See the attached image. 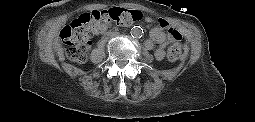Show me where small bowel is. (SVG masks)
Wrapping results in <instances>:
<instances>
[{
  "label": "small bowel",
  "mask_w": 255,
  "mask_h": 122,
  "mask_svg": "<svg viewBox=\"0 0 255 122\" xmlns=\"http://www.w3.org/2000/svg\"><path fill=\"white\" fill-rule=\"evenodd\" d=\"M146 21L148 23H152L153 18L148 17ZM160 22H165L167 24V22L164 19H159L158 21L159 25L150 30L148 39L146 40V43H145V48L147 50H151L153 49L155 44H159V47L154 52V55L156 59L158 60H161L164 58L165 47L168 43L172 41V38L170 37V35L164 32L165 28L160 25Z\"/></svg>",
  "instance_id": "c3829d8e"
}]
</instances>
